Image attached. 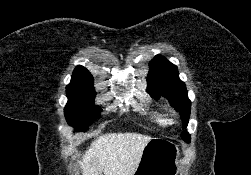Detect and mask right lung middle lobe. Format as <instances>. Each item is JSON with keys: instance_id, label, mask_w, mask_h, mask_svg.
<instances>
[{"instance_id": "obj_1", "label": "right lung middle lobe", "mask_w": 251, "mask_h": 175, "mask_svg": "<svg viewBox=\"0 0 251 175\" xmlns=\"http://www.w3.org/2000/svg\"><path fill=\"white\" fill-rule=\"evenodd\" d=\"M68 97L64 109L68 124L75 128V131H86L96 120L101 108L94 105L96 92L89 87H66Z\"/></svg>"}]
</instances>
